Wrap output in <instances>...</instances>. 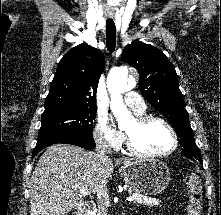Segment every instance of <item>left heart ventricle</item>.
<instances>
[{
	"label": "left heart ventricle",
	"mask_w": 221,
	"mask_h": 215,
	"mask_svg": "<svg viewBox=\"0 0 221 215\" xmlns=\"http://www.w3.org/2000/svg\"><path fill=\"white\" fill-rule=\"evenodd\" d=\"M135 145L147 153H162L168 151L172 144V136L166 126L158 121L139 125L133 120L125 129Z\"/></svg>",
	"instance_id": "obj_1"
}]
</instances>
